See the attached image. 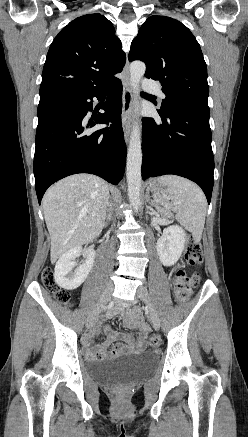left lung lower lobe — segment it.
<instances>
[{
	"label": "left lung lower lobe",
	"instance_id": "0a47b994",
	"mask_svg": "<svg viewBox=\"0 0 248 437\" xmlns=\"http://www.w3.org/2000/svg\"><path fill=\"white\" fill-rule=\"evenodd\" d=\"M162 123L143 118L142 178L179 175L196 182L208 203L213 189L214 157L209 107L178 106L162 114Z\"/></svg>",
	"mask_w": 248,
	"mask_h": 437
}]
</instances>
